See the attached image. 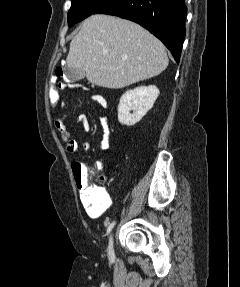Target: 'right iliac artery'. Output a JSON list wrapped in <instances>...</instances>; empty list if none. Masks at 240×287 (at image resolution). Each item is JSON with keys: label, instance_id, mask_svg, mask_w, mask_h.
I'll list each match as a JSON object with an SVG mask.
<instances>
[{"label": "right iliac artery", "instance_id": "1", "mask_svg": "<svg viewBox=\"0 0 240 287\" xmlns=\"http://www.w3.org/2000/svg\"><path fill=\"white\" fill-rule=\"evenodd\" d=\"M116 224L115 221H113L107 228V235L111 232V230L113 229L114 225Z\"/></svg>", "mask_w": 240, "mask_h": 287}]
</instances>
